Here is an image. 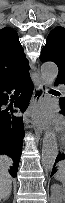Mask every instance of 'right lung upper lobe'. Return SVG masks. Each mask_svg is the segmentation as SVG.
I'll list each match as a JSON object with an SVG mask.
<instances>
[{"label": "right lung upper lobe", "mask_w": 65, "mask_h": 203, "mask_svg": "<svg viewBox=\"0 0 65 203\" xmlns=\"http://www.w3.org/2000/svg\"><path fill=\"white\" fill-rule=\"evenodd\" d=\"M29 64L17 32L0 29V86L29 76Z\"/></svg>", "instance_id": "obj_1"}]
</instances>
